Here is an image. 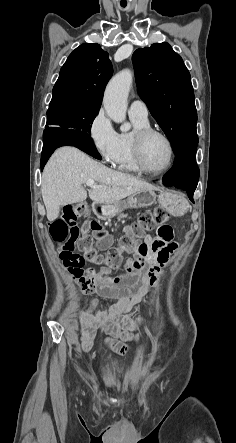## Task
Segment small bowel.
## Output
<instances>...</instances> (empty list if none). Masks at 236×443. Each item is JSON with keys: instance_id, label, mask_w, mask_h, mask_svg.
<instances>
[{"instance_id": "1", "label": "small bowel", "mask_w": 236, "mask_h": 443, "mask_svg": "<svg viewBox=\"0 0 236 443\" xmlns=\"http://www.w3.org/2000/svg\"><path fill=\"white\" fill-rule=\"evenodd\" d=\"M108 244L107 240H99L96 244L98 249H104ZM169 241L164 240L158 233L154 236H146L144 241L139 243L136 251L141 246L149 250V256L143 261V266L135 272L133 278H128L125 274L115 278L109 277V270L104 269L102 277H96L92 269H76L63 262L71 280L84 294H98L105 297L118 296L119 301L112 306L103 307L95 315L90 317L89 324L81 327V349L89 352L94 342V330L102 328L108 335V342L111 348L119 353L125 354V342H139L141 332L151 333L154 323L144 317L129 318L126 313L131 308L142 302L148 292V288L159 282L162 270L168 264L169 256L174 250H169ZM133 259H129L125 264L127 272ZM125 285V287L114 288V286ZM97 305L95 299L91 300L89 309ZM84 315V314H82Z\"/></svg>"}]
</instances>
